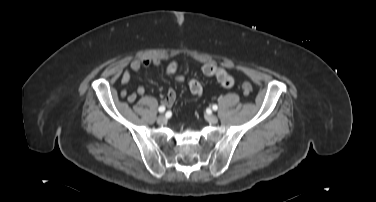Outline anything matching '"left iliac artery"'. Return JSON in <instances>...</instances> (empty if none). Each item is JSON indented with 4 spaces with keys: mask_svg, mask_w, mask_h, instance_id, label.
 I'll list each match as a JSON object with an SVG mask.
<instances>
[{
    "mask_svg": "<svg viewBox=\"0 0 376 202\" xmlns=\"http://www.w3.org/2000/svg\"><path fill=\"white\" fill-rule=\"evenodd\" d=\"M212 109L216 111L218 109V106L217 105H213Z\"/></svg>",
    "mask_w": 376,
    "mask_h": 202,
    "instance_id": "1",
    "label": "left iliac artery"
}]
</instances>
